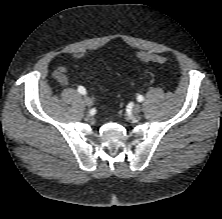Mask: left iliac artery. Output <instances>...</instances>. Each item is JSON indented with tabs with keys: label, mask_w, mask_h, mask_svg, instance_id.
<instances>
[{
	"label": "left iliac artery",
	"mask_w": 222,
	"mask_h": 219,
	"mask_svg": "<svg viewBox=\"0 0 222 219\" xmlns=\"http://www.w3.org/2000/svg\"><path fill=\"white\" fill-rule=\"evenodd\" d=\"M137 100L139 102H142L144 100V97L142 95H138Z\"/></svg>",
	"instance_id": "44dca946"
}]
</instances>
